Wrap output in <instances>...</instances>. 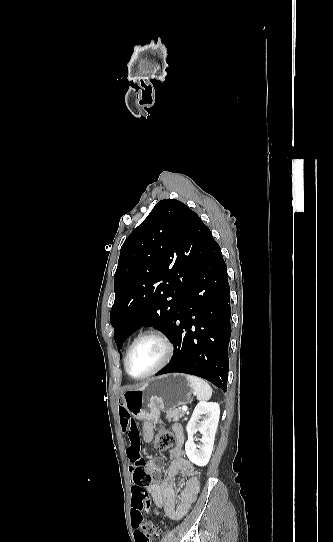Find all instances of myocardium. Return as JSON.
<instances>
[{
	"label": "myocardium",
	"mask_w": 333,
	"mask_h": 542,
	"mask_svg": "<svg viewBox=\"0 0 333 542\" xmlns=\"http://www.w3.org/2000/svg\"><path fill=\"white\" fill-rule=\"evenodd\" d=\"M130 236H132V235H130ZM145 339H155V340L159 341L163 346V351H164L163 357H162V360L159 362V364L155 368H153L151 371H149L146 374L141 375V376H133L129 372V369H128L129 357H130L134 347L139 342H141V341H143ZM173 353H174L173 344L170 341L169 337L165 333H163L161 331H158V330L145 331V332L141 333L137 338H135L134 341L129 346V348L127 350V353L125 355V358H124L125 371H126V373L128 374L129 377H131L132 379H135V380H142V379L148 378V377L158 373L163 368H165L168 365V363L171 361V359L173 357Z\"/></svg>",
	"instance_id": "myocardium-1"
}]
</instances>
